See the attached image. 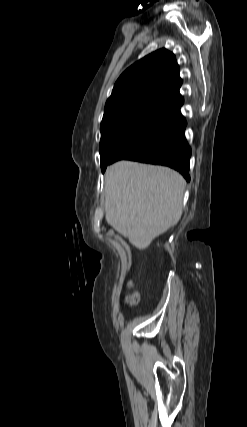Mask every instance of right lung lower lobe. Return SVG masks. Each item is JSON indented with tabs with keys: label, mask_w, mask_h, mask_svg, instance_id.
Masks as SVG:
<instances>
[{
	"label": "right lung lower lobe",
	"mask_w": 247,
	"mask_h": 427,
	"mask_svg": "<svg viewBox=\"0 0 247 427\" xmlns=\"http://www.w3.org/2000/svg\"><path fill=\"white\" fill-rule=\"evenodd\" d=\"M183 103L179 95L152 111L121 142L107 165L120 159L166 165L189 181L191 149L184 135Z\"/></svg>",
	"instance_id": "right-lung-lower-lobe-1"
}]
</instances>
